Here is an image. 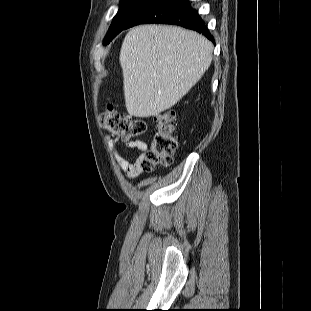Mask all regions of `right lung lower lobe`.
Instances as JSON below:
<instances>
[{
    "label": "right lung lower lobe",
    "instance_id": "1",
    "mask_svg": "<svg viewBox=\"0 0 311 311\" xmlns=\"http://www.w3.org/2000/svg\"><path fill=\"white\" fill-rule=\"evenodd\" d=\"M144 23L179 25L197 31L214 42L213 36L188 0H157L138 13L125 29Z\"/></svg>",
    "mask_w": 311,
    "mask_h": 311
}]
</instances>
